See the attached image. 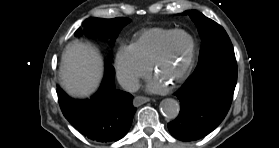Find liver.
I'll list each match as a JSON object with an SVG mask.
<instances>
[{
	"label": "liver",
	"instance_id": "liver-1",
	"mask_svg": "<svg viewBox=\"0 0 279 148\" xmlns=\"http://www.w3.org/2000/svg\"><path fill=\"white\" fill-rule=\"evenodd\" d=\"M103 71L99 51L89 44L73 42L62 55L60 78L64 88L73 95L87 96L98 86Z\"/></svg>",
	"mask_w": 279,
	"mask_h": 148
}]
</instances>
